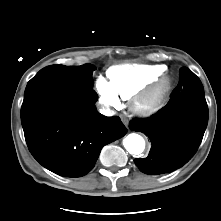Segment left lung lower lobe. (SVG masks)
I'll return each instance as SVG.
<instances>
[{
  "mask_svg": "<svg viewBox=\"0 0 221 221\" xmlns=\"http://www.w3.org/2000/svg\"><path fill=\"white\" fill-rule=\"evenodd\" d=\"M168 104L146 119H134L132 131L149 137L147 158L134 159L145 174L158 175L182 167L196 153L208 123V106L200 79L188 68L180 69V81Z\"/></svg>",
  "mask_w": 221,
  "mask_h": 221,
  "instance_id": "obj_1",
  "label": "left lung lower lobe"
}]
</instances>
